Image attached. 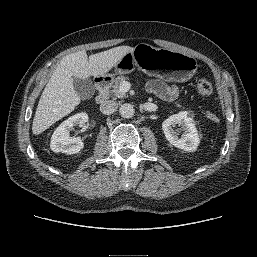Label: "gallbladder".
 <instances>
[{
	"instance_id": "bac80fb5",
	"label": "gallbladder",
	"mask_w": 257,
	"mask_h": 257,
	"mask_svg": "<svg viewBox=\"0 0 257 257\" xmlns=\"http://www.w3.org/2000/svg\"><path fill=\"white\" fill-rule=\"evenodd\" d=\"M74 89L81 99H89L95 93V88L91 80L78 79L73 77Z\"/></svg>"
}]
</instances>
